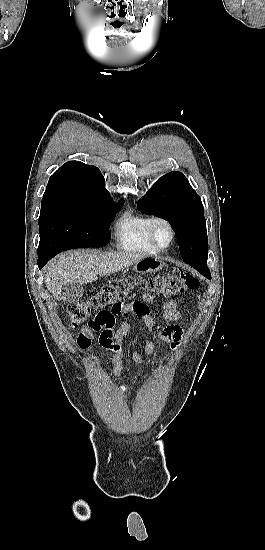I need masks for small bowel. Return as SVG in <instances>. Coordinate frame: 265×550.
Here are the masks:
<instances>
[{
    "label": "small bowel",
    "mask_w": 265,
    "mask_h": 550,
    "mask_svg": "<svg viewBox=\"0 0 265 550\" xmlns=\"http://www.w3.org/2000/svg\"><path fill=\"white\" fill-rule=\"evenodd\" d=\"M132 301L126 305L124 308V313L135 312L138 313L132 306V304L137 301L135 300L136 296L133 295ZM143 300L145 302H152V297L150 295H143ZM145 304V303H144ZM146 305V304H145ZM143 318L144 324L147 328V332L150 336L153 335V319L150 316L149 308L146 305V311L141 315ZM164 318L169 321H179L181 314L174 301H167L164 303ZM115 326V322L112 325ZM133 330V327L129 324H123L116 330H113L111 333H106L104 330L94 331L89 327H85L79 333L76 338V342L79 348L87 349L91 345L92 339L98 334L100 342L107 346L113 352V360L111 363L112 372L115 376H120L123 368V348H124V338L125 336ZM159 339L164 342L171 344L172 348L178 346L182 340V331L177 326L166 327L159 334ZM155 351V344L153 341H147L144 345L145 356H151ZM145 356H143L139 351L134 350L132 352V359L136 364H144L146 361ZM93 364H98L99 361L97 358L92 359Z\"/></svg>",
    "instance_id": "1"
}]
</instances>
